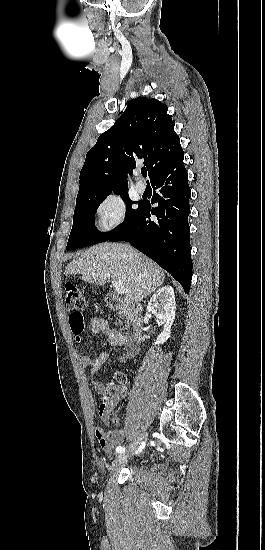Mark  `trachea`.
Returning a JSON list of instances; mask_svg holds the SVG:
<instances>
[{"mask_svg":"<svg viewBox=\"0 0 265 550\" xmlns=\"http://www.w3.org/2000/svg\"><path fill=\"white\" fill-rule=\"evenodd\" d=\"M141 174H142L144 177L147 176V170H146V168H142V169H141Z\"/></svg>","mask_w":265,"mask_h":550,"instance_id":"trachea-1","label":"trachea"}]
</instances>
